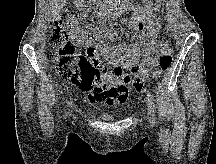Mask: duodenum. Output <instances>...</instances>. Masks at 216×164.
I'll return each mask as SVG.
<instances>
[{"mask_svg": "<svg viewBox=\"0 0 216 164\" xmlns=\"http://www.w3.org/2000/svg\"><path fill=\"white\" fill-rule=\"evenodd\" d=\"M124 3H127V4H124L125 6H129L130 5L129 3H131V0H124ZM99 6H100V11L104 17L110 14L111 11L107 5L100 4Z\"/></svg>", "mask_w": 216, "mask_h": 164, "instance_id": "1", "label": "duodenum"}]
</instances>
